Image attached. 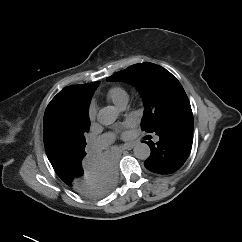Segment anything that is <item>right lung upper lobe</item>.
Listing matches in <instances>:
<instances>
[{"mask_svg": "<svg viewBox=\"0 0 242 242\" xmlns=\"http://www.w3.org/2000/svg\"><path fill=\"white\" fill-rule=\"evenodd\" d=\"M99 83L66 87L46 108L43 121L44 145L56 173L72 166L82 157L73 138L90 127L88 108Z\"/></svg>", "mask_w": 242, "mask_h": 242, "instance_id": "cb5924a9", "label": "right lung upper lobe"}]
</instances>
